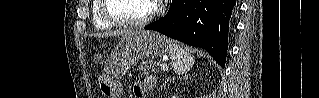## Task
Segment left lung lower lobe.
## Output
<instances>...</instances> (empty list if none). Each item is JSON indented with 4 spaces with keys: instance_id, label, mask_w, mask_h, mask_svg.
<instances>
[{
    "instance_id": "obj_1",
    "label": "left lung lower lobe",
    "mask_w": 319,
    "mask_h": 98,
    "mask_svg": "<svg viewBox=\"0 0 319 98\" xmlns=\"http://www.w3.org/2000/svg\"><path fill=\"white\" fill-rule=\"evenodd\" d=\"M235 5L236 0H172L166 16L145 29L201 47L224 67Z\"/></svg>"
}]
</instances>
